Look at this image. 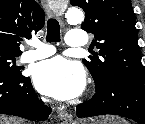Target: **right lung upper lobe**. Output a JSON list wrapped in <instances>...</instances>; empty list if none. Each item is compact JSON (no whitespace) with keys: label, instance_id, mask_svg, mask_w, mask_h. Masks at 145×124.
I'll use <instances>...</instances> for the list:
<instances>
[{"label":"right lung upper lobe","instance_id":"right-lung-upper-lobe-1","mask_svg":"<svg viewBox=\"0 0 145 124\" xmlns=\"http://www.w3.org/2000/svg\"><path fill=\"white\" fill-rule=\"evenodd\" d=\"M44 25V12L34 0H0V51L21 55L22 38Z\"/></svg>","mask_w":145,"mask_h":124}]
</instances>
